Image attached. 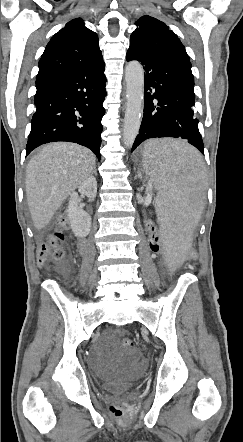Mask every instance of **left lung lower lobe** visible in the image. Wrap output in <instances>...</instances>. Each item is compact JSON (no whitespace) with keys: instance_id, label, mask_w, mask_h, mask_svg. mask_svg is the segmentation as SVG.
Masks as SVG:
<instances>
[{"instance_id":"obj_1","label":"left lung lower lobe","mask_w":243,"mask_h":442,"mask_svg":"<svg viewBox=\"0 0 243 442\" xmlns=\"http://www.w3.org/2000/svg\"><path fill=\"white\" fill-rule=\"evenodd\" d=\"M126 58L144 67V114L132 151L150 138H182L202 154L203 142L198 130L194 78L191 64L148 52L131 44Z\"/></svg>"}]
</instances>
